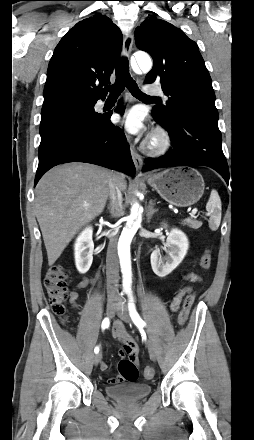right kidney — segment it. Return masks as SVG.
I'll use <instances>...</instances> for the list:
<instances>
[{"mask_svg": "<svg viewBox=\"0 0 254 440\" xmlns=\"http://www.w3.org/2000/svg\"><path fill=\"white\" fill-rule=\"evenodd\" d=\"M93 228L87 226L78 235L74 244L75 265L79 273L85 274L93 261L94 243L92 240Z\"/></svg>", "mask_w": 254, "mask_h": 440, "instance_id": "obj_1", "label": "right kidney"}]
</instances>
